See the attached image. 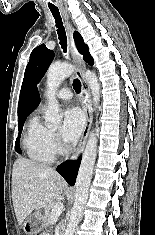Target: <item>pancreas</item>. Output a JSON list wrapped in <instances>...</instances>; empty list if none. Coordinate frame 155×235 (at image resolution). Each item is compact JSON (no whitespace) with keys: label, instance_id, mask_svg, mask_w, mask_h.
I'll use <instances>...</instances> for the list:
<instances>
[{"label":"pancreas","instance_id":"1","mask_svg":"<svg viewBox=\"0 0 155 235\" xmlns=\"http://www.w3.org/2000/svg\"><path fill=\"white\" fill-rule=\"evenodd\" d=\"M58 201H53L50 202L46 207H45V221L46 224L50 223V220L52 218V208L54 207V205L57 203Z\"/></svg>","mask_w":155,"mask_h":235}]
</instances>
